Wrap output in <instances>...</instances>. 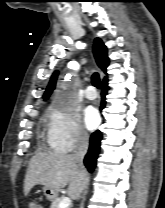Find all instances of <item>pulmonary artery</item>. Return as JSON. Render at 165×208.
Listing matches in <instances>:
<instances>
[{
    "instance_id": "1",
    "label": "pulmonary artery",
    "mask_w": 165,
    "mask_h": 208,
    "mask_svg": "<svg viewBox=\"0 0 165 208\" xmlns=\"http://www.w3.org/2000/svg\"><path fill=\"white\" fill-rule=\"evenodd\" d=\"M85 97L88 100H94L96 98V93L92 87H87V89L85 90Z\"/></svg>"
}]
</instances>
